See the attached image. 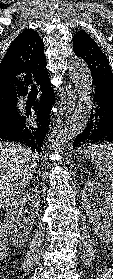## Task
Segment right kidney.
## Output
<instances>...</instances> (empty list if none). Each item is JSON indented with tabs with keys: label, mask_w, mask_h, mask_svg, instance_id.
Returning a JSON list of instances; mask_svg holds the SVG:
<instances>
[{
	"label": "right kidney",
	"mask_w": 113,
	"mask_h": 279,
	"mask_svg": "<svg viewBox=\"0 0 113 279\" xmlns=\"http://www.w3.org/2000/svg\"><path fill=\"white\" fill-rule=\"evenodd\" d=\"M25 203H28L31 207L30 217L21 220ZM39 205L40 192L37 188H32L19 196L7 207L3 228L4 231L9 233L10 240L15 246L21 247L28 241L34 220L38 214Z\"/></svg>",
	"instance_id": "1"
}]
</instances>
